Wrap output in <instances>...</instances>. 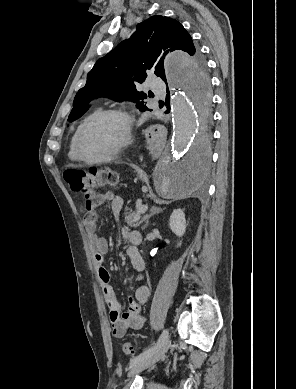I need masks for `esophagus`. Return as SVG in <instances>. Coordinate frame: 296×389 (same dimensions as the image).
Wrapping results in <instances>:
<instances>
[{
  "label": "esophagus",
  "mask_w": 296,
  "mask_h": 389,
  "mask_svg": "<svg viewBox=\"0 0 296 389\" xmlns=\"http://www.w3.org/2000/svg\"><path fill=\"white\" fill-rule=\"evenodd\" d=\"M148 128L151 131H160L163 128V121L160 118H151L148 121Z\"/></svg>",
  "instance_id": "obj_1"
}]
</instances>
